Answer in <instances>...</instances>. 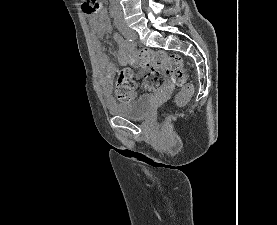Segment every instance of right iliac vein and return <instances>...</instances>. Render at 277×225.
Wrapping results in <instances>:
<instances>
[{"label":"right iliac vein","mask_w":277,"mask_h":225,"mask_svg":"<svg viewBox=\"0 0 277 225\" xmlns=\"http://www.w3.org/2000/svg\"><path fill=\"white\" fill-rule=\"evenodd\" d=\"M120 31L126 38L136 39L137 37L136 33L128 28H122Z\"/></svg>","instance_id":"obj_1"}]
</instances>
